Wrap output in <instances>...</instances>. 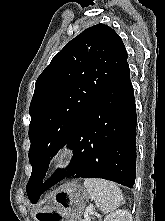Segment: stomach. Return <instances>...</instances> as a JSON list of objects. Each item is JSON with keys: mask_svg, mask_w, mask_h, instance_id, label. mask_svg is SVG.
<instances>
[{"mask_svg": "<svg viewBox=\"0 0 165 221\" xmlns=\"http://www.w3.org/2000/svg\"><path fill=\"white\" fill-rule=\"evenodd\" d=\"M87 198V191L77 182L65 184L56 192L50 204L37 208L35 217H46L39 218V221H80Z\"/></svg>", "mask_w": 165, "mask_h": 221, "instance_id": "0dacf381", "label": "stomach"}]
</instances>
